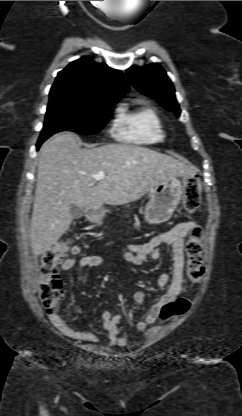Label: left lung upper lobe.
<instances>
[{"mask_svg":"<svg viewBox=\"0 0 242 416\" xmlns=\"http://www.w3.org/2000/svg\"><path fill=\"white\" fill-rule=\"evenodd\" d=\"M126 72L138 91L156 99L165 109L173 111L177 116L180 115L173 83L158 63L144 67L132 66Z\"/></svg>","mask_w":242,"mask_h":416,"instance_id":"left-lung-upper-lobe-1","label":"left lung upper lobe"}]
</instances>
